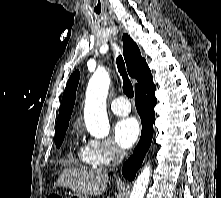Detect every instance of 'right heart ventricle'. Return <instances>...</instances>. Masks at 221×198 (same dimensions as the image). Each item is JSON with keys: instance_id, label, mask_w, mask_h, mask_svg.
I'll list each match as a JSON object with an SVG mask.
<instances>
[{"instance_id": "right-heart-ventricle-1", "label": "right heart ventricle", "mask_w": 221, "mask_h": 198, "mask_svg": "<svg viewBox=\"0 0 221 198\" xmlns=\"http://www.w3.org/2000/svg\"><path fill=\"white\" fill-rule=\"evenodd\" d=\"M78 155H79V158L82 162L86 163V164H90L88 158H87V154H86V147L84 148H79L78 150Z\"/></svg>"}]
</instances>
